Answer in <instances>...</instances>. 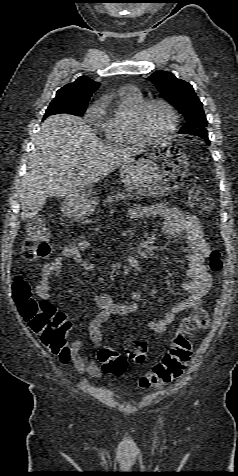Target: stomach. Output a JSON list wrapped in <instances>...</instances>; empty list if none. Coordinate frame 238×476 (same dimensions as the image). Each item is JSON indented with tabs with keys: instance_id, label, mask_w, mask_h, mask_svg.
<instances>
[{
	"instance_id": "stomach-1",
	"label": "stomach",
	"mask_w": 238,
	"mask_h": 476,
	"mask_svg": "<svg viewBox=\"0 0 238 476\" xmlns=\"http://www.w3.org/2000/svg\"><path fill=\"white\" fill-rule=\"evenodd\" d=\"M131 158L121 165L122 182L127 189L147 196L172 193L189 166L184 152L171 144H145ZM96 204L93 188L84 187L65 198L63 211L69 217L83 218L93 213Z\"/></svg>"
}]
</instances>
